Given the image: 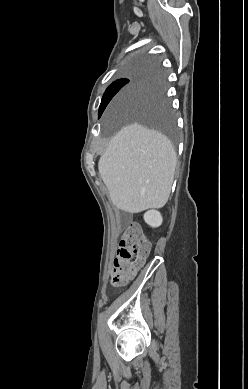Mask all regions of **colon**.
Listing matches in <instances>:
<instances>
[{
  "label": "colon",
  "instance_id": "obj_1",
  "mask_svg": "<svg viewBox=\"0 0 248 389\" xmlns=\"http://www.w3.org/2000/svg\"><path fill=\"white\" fill-rule=\"evenodd\" d=\"M150 252V243L141 233L136 223L130 224L123 233L118 257L112 267V284L114 286L126 285L142 266Z\"/></svg>",
  "mask_w": 248,
  "mask_h": 389
}]
</instances>
